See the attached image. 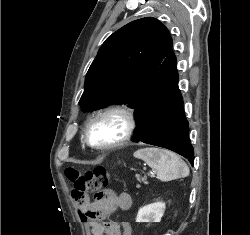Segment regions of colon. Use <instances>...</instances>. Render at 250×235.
<instances>
[{
	"mask_svg": "<svg viewBox=\"0 0 250 235\" xmlns=\"http://www.w3.org/2000/svg\"><path fill=\"white\" fill-rule=\"evenodd\" d=\"M65 175L72 185V193L78 204L85 201L87 194H94L96 201L105 198V190L109 182V175L105 168L97 167L82 172L74 167H68Z\"/></svg>",
	"mask_w": 250,
	"mask_h": 235,
	"instance_id": "obj_1",
	"label": "colon"
}]
</instances>
